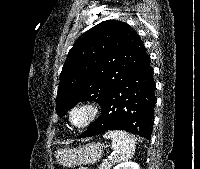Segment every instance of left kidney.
<instances>
[{
	"label": "left kidney",
	"mask_w": 200,
	"mask_h": 169,
	"mask_svg": "<svg viewBox=\"0 0 200 169\" xmlns=\"http://www.w3.org/2000/svg\"><path fill=\"white\" fill-rule=\"evenodd\" d=\"M113 169H140L139 165L135 162L126 161L117 164Z\"/></svg>",
	"instance_id": "5707ae66"
}]
</instances>
